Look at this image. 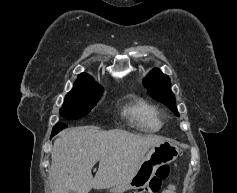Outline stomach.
<instances>
[{"mask_svg": "<svg viewBox=\"0 0 237 193\" xmlns=\"http://www.w3.org/2000/svg\"><path fill=\"white\" fill-rule=\"evenodd\" d=\"M178 155L179 147L172 141L163 140L152 146L134 176L129 181L111 188L109 193H124L129 189L145 187L159 166L173 162Z\"/></svg>", "mask_w": 237, "mask_h": 193, "instance_id": "stomach-1", "label": "stomach"}]
</instances>
